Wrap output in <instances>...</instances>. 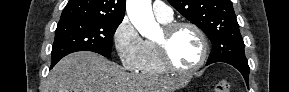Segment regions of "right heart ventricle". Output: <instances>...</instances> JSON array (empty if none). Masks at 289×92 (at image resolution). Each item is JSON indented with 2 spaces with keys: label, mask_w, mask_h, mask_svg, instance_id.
<instances>
[{
  "label": "right heart ventricle",
  "mask_w": 289,
  "mask_h": 92,
  "mask_svg": "<svg viewBox=\"0 0 289 92\" xmlns=\"http://www.w3.org/2000/svg\"><path fill=\"white\" fill-rule=\"evenodd\" d=\"M159 20V19H158ZM163 24L171 22V20H159ZM145 42V57L141 68L139 69L143 73L147 74H162L167 70L163 67L158 52L155 46V42L152 40H146Z\"/></svg>",
  "instance_id": "right-heart-ventricle-1"
}]
</instances>
